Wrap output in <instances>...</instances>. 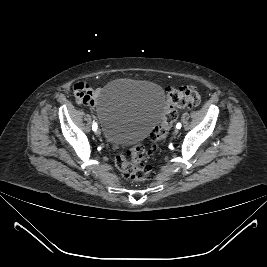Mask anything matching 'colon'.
Masks as SVG:
<instances>
[{
  "label": "colon",
  "instance_id": "obj_1",
  "mask_svg": "<svg viewBox=\"0 0 267 267\" xmlns=\"http://www.w3.org/2000/svg\"><path fill=\"white\" fill-rule=\"evenodd\" d=\"M166 111L161 124L153 129L150 139L155 143L151 150L143 145H135L125 154L117 153L115 165L118 170L129 180L144 181L153 176L147 160L152 151L157 149L156 143L163 141L168 135L173 123L177 119L178 108H195L201 102V94L196 86L187 85L178 88H170L167 92Z\"/></svg>",
  "mask_w": 267,
  "mask_h": 267
}]
</instances>
